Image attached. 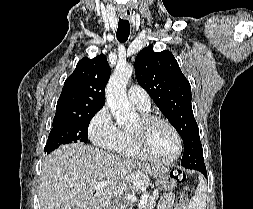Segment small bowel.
I'll use <instances>...</instances> for the list:
<instances>
[{
	"mask_svg": "<svg viewBox=\"0 0 253 209\" xmlns=\"http://www.w3.org/2000/svg\"><path fill=\"white\" fill-rule=\"evenodd\" d=\"M157 209H176V205H174V196L173 194H168L164 196L158 206Z\"/></svg>",
	"mask_w": 253,
	"mask_h": 209,
	"instance_id": "small-bowel-1",
	"label": "small bowel"
}]
</instances>
